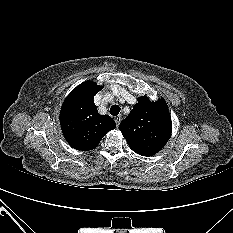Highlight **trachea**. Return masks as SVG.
Wrapping results in <instances>:
<instances>
[{
  "instance_id": "trachea-1",
  "label": "trachea",
  "mask_w": 233,
  "mask_h": 233,
  "mask_svg": "<svg viewBox=\"0 0 233 233\" xmlns=\"http://www.w3.org/2000/svg\"><path fill=\"white\" fill-rule=\"evenodd\" d=\"M119 112H120V106H118V105L111 106V108H110V114L112 116H117L119 114Z\"/></svg>"
}]
</instances>
